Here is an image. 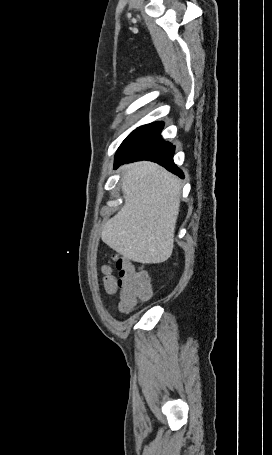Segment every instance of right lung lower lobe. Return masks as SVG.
Returning <instances> with one entry per match:
<instances>
[{"mask_svg": "<svg viewBox=\"0 0 272 455\" xmlns=\"http://www.w3.org/2000/svg\"><path fill=\"white\" fill-rule=\"evenodd\" d=\"M163 126V122H154L134 130L120 145L115 156V168L126 162L150 160L183 178L182 171L173 162L175 147L160 135Z\"/></svg>", "mask_w": 272, "mask_h": 455, "instance_id": "98d812e1", "label": "right lung lower lobe"}]
</instances>
